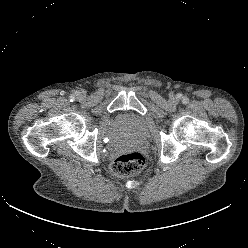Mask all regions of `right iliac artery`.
Segmentation results:
<instances>
[{
  "mask_svg": "<svg viewBox=\"0 0 248 248\" xmlns=\"http://www.w3.org/2000/svg\"><path fill=\"white\" fill-rule=\"evenodd\" d=\"M75 99V96L74 95H71L70 96V101H73Z\"/></svg>",
  "mask_w": 248,
  "mask_h": 248,
  "instance_id": "82829eb1",
  "label": "right iliac artery"
}]
</instances>
